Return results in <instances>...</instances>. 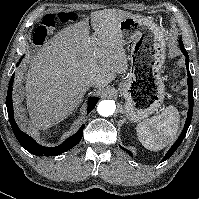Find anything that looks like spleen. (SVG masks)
I'll use <instances>...</instances> for the list:
<instances>
[{
    "instance_id": "obj_1",
    "label": "spleen",
    "mask_w": 199,
    "mask_h": 199,
    "mask_svg": "<svg viewBox=\"0 0 199 199\" xmlns=\"http://www.w3.org/2000/svg\"><path fill=\"white\" fill-rule=\"evenodd\" d=\"M179 112L170 105L161 114L140 123L136 132L141 144L148 150L158 151L171 144L179 130Z\"/></svg>"
}]
</instances>
